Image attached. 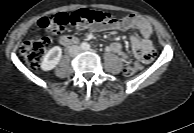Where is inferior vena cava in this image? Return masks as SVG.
Masks as SVG:
<instances>
[{"label":"inferior vena cava","mask_w":194,"mask_h":133,"mask_svg":"<svg viewBox=\"0 0 194 133\" xmlns=\"http://www.w3.org/2000/svg\"><path fill=\"white\" fill-rule=\"evenodd\" d=\"M82 52V48L78 45H73L69 47V54L72 57L79 55Z\"/></svg>","instance_id":"1"}]
</instances>
